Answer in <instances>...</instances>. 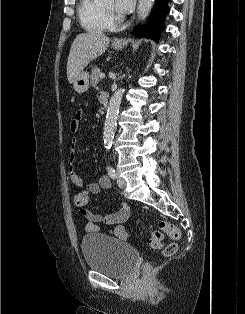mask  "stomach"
<instances>
[{
  "label": "stomach",
  "instance_id": "1",
  "mask_svg": "<svg viewBox=\"0 0 245 314\" xmlns=\"http://www.w3.org/2000/svg\"><path fill=\"white\" fill-rule=\"evenodd\" d=\"M124 45H125L124 43L121 44L113 43L112 46L114 49L120 50L124 48ZM73 88L79 94L85 93L89 88V73L86 71H81L73 82Z\"/></svg>",
  "mask_w": 245,
  "mask_h": 314
}]
</instances>
